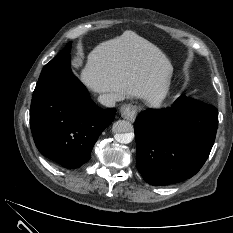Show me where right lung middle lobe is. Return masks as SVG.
I'll list each match as a JSON object with an SVG mask.
<instances>
[{
    "label": "right lung middle lobe",
    "mask_w": 233,
    "mask_h": 233,
    "mask_svg": "<svg viewBox=\"0 0 233 233\" xmlns=\"http://www.w3.org/2000/svg\"><path fill=\"white\" fill-rule=\"evenodd\" d=\"M64 49H66V50H67V49H71V44L68 43Z\"/></svg>",
    "instance_id": "1"
}]
</instances>
